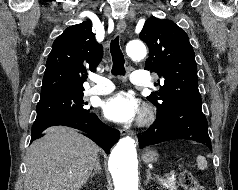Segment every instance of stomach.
I'll use <instances>...</instances> for the list:
<instances>
[{"mask_svg": "<svg viewBox=\"0 0 238 190\" xmlns=\"http://www.w3.org/2000/svg\"><path fill=\"white\" fill-rule=\"evenodd\" d=\"M159 154L156 151L148 150L142 155V159L145 163H154L158 160Z\"/></svg>", "mask_w": 238, "mask_h": 190, "instance_id": "1", "label": "stomach"}]
</instances>
